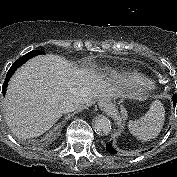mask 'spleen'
<instances>
[{
    "label": "spleen",
    "mask_w": 177,
    "mask_h": 177,
    "mask_svg": "<svg viewBox=\"0 0 177 177\" xmlns=\"http://www.w3.org/2000/svg\"><path fill=\"white\" fill-rule=\"evenodd\" d=\"M165 110L162 103L155 100L147 113L139 119L130 120L128 128L131 134L140 140L148 141L156 138L164 125Z\"/></svg>",
    "instance_id": "spleen-1"
}]
</instances>
